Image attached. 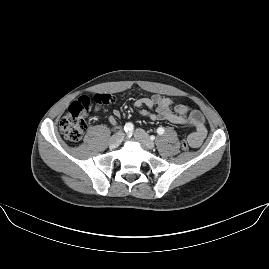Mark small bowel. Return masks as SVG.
<instances>
[{
	"label": "small bowel",
	"instance_id": "obj_1",
	"mask_svg": "<svg viewBox=\"0 0 269 269\" xmlns=\"http://www.w3.org/2000/svg\"><path fill=\"white\" fill-rule=\"evenodd\" d=\"M171 105V98L157 94L137 99L134 102V107L139 111V113L143 116L149 117L153 121L162 120L173 124L191 126L194 131L189 136L190 146L198 148L207 134L202 114L197 110L187 109L181 105L173 111L171 109ZM154 107H156L157 112L151 113L150 109ZM120 115L121 113L119 110H114L108 116L109 124L112 126L116 125Z\"/></svg>",
	"mask_w": 269,
	"mask_h": 269
}]
</instances>
